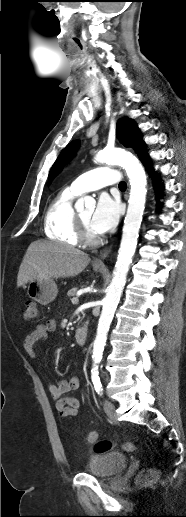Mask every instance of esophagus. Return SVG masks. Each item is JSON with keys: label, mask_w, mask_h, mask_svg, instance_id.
I'll list each match as a JSON object with an SVG mask.
<instances>
[{"label": "esophagus", "mask_w": 186, "mask_h": 517, "mask_svg": "<svg viewBox=\"0 0 186 517\" xmlns=\"http://www.w3.org/2000/svg\"><path fill=\"white\" fill-rule=\"evenodd\" d=\"M111 251V246L107 247L100 255V257H98L95 261H94V265H97V266H104V260L106 257H108L109 253Z\"/></svg>", "instance_id": "esophagus-1"}]
</instances>
